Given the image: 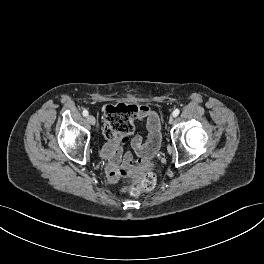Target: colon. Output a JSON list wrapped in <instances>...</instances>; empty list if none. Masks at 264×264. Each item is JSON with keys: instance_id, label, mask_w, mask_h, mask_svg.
<instances>
[{"instance_id": "colon-1", "label": "colon", "mask_w": 264, "mask_h": 264, "mask_svg": "<svg viewBox=\"0 0 264 264\" xmlns=\"http://www.w3.org/2000/svg\"><path fill=\"white\" fill-rule=\"evenodd\" d=\"M137 107L133 104L108 105L105 108V120L107 125L104 128V135L107 138L115 135H129L134 130V120ZM121 175L129 180L124 190L132 195H139L152 190L157 182L152 172H146L141 167H134L123 170Z\"/></svg>"}]
</instances>
